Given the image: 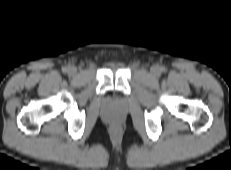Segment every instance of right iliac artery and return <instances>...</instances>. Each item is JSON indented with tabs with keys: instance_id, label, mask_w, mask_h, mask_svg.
<instances>
[{
	"instance_id": "right-iliac-artery-1",
	"label": "right iliac artery",
	"mask_w": 231,
	"mask_h": 170,
	"mask_svg": "<svg viewBox=\"0 0 231 170\" xmlns=\"http://www.w3.org/2000/svg\"><path fill=\"white\" fill-rule=\"evenodd\" d=\"M62 71H63V72H67V71H68V67H66V66L63 67V68H62Z\"/></svg>"
}]
</instances>
